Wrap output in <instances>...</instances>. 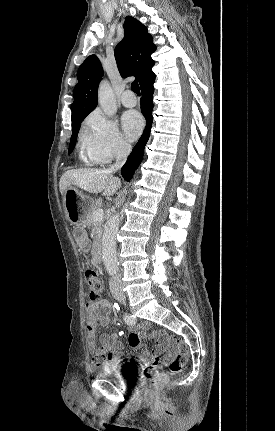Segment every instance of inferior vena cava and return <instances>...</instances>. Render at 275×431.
Wrapping results in <instances>:
<instances>
[{
	"label": "inferior vena cava",
	"instance_id": "inferior-vena-cava-1",
	"mask_svg": "<svg viewBox=\"0 0 275 431\" xmlns=\"http://www.w3.org/2000/svg\"><path fill=\"white\" fill-rule=\"evenodd\" d=\"M131 152V146L128 144H121L120 148L117 152L116 155V163L114 165L111 166V168L109 169L111 172H115L119 169H121V167L124 165V163L126 162V159L129 155V153ZM110 290L111 291H121L122 287H121V280H120V276L118 274H115L112 276L110 283Z\"/></svg>",
	"mask_w": 275,
	"mask_h": 431
}]
</instances>
